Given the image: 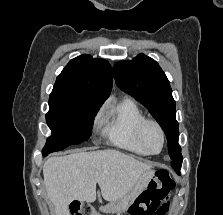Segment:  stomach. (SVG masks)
<instances>
[{"label":"stomach","mask_w":223,"mask_h":215,"mask_svg":"<svg viewBox=\"0 0 223 215\" xmlns=\"http://www.w3.org/2000/svg\"><path fill=\"white\" fill-rule=\"evenodd\" d=\"M154 175V169H146V171H143L133 189H130L126 195H122L117 201H110V203L101 207V211H106V213H116L117 211L119 213V211L131 209L134 201H138V197L148 189L149 183L152 181Z\"/></svg>","instance_id":"0dacf381"}]
</instances>
